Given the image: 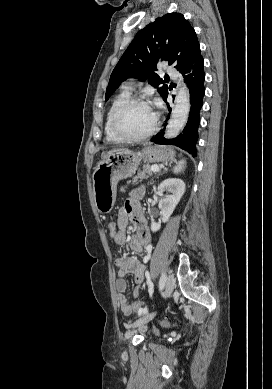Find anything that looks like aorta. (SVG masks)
Returning <instances> with one entry per match:
<instances>
[{
	"label": "aorta",
	"instance_id": "obj_1",
	"mask_svg": "<svg viewBox=\"0 0 272 389\" xmlns=\"http://www.w3.org/2000/svg\"><path fill=\"white\" fill-rule=\"evenodd\" d=\"M190 112V98L189 90L186 85L179 88L178 94L175 98V107L172 112V117L168 122L165 137L172 139L178 136L182 128L187 122Z\"/></svg>",
	"mask_w": 272,
	"mask_h": 389
}]
</instances>
